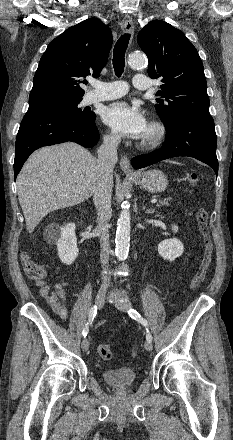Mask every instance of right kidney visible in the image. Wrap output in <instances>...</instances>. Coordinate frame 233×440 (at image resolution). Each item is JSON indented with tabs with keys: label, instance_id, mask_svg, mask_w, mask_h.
<instances>
[{
	"label": "right kidney",
	"instance_id": "1",
	"mask_svg": "<svg viewBox=\"0 0 233 440\" xmlns=\"http://www.w3.org/2000/svg\"><path fill=\"white\" fill-rule=\"evenodd\" d=\"M75 228L74 223L62 227L50 224L44 231L45 240L57 245L58 256L66 265H71L79 254Z\"/></svg>",
	"mask_w": 233,
	"mask_h": 440
}]
</instances>
